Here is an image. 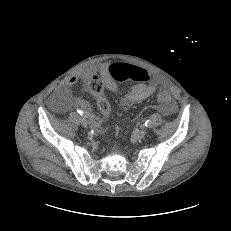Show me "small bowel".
I'll list each match as a JSON object with an SVG mask.
<instances>
[{
    "label": "small bowel",
    "instance_id": "c3829d8e",
    "mask_svg": "<svg viewBox=\"0 0 231 231\" xmlns=\"http://www.w3.org/2000/svg\"><path fill=\"white\" fill-rule=\"evenodd\" d=\"M108 70H109L108 64L106 63L99 64L94 68L84 71L81 74V79L84 81L87 88L91 91L90 89L91 82L94 79L99 78L108 90L118 93L120 95V103L123 106H131L144 101L152 94H154L155 91L161 86V80L159 78L156 77L150 78L148 76V79L146 81H139L131 89L127 91H122L119 88V86L116 84V82L112 80ZM78 81L79 78L77 76H69L63 81V86L69 88L74 86ZM97 101H98V97H97ZM76 103L83 110H85V113L89 116L93 129L99 131L101 125V119L95 116L93 113H91L89 103L82 98H77ZM174 109H175V105L169 104L167 107L162 109V111L165 114H171L174 111Z\"/></svg>",
    "mask_w": 231,
    "mask_h": 231
}]
</instances>
